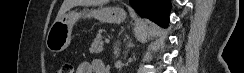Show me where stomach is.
Returning a JSON list of instances; mask_svg holds the SVG:
<instances>
[{"label": "stomach", "mask_w": 244, "mask_h": 73, "mask_svg": "<svg viewBox=\"0 0 244 73\" xmlns=\"http://www.w3.org/2000/svg\"><path fill=\"white\" fill-rule=\"evenodd\" d=\"M81 17H93L101 22L119 24L125 21L126 13L118 7H100L91 10L69 11L60 19L55 20L49 29L46 37V46L49 51L59 53L69 46L72 28Z\"/></svg>", "instance_id": "1"}]
</instances>
